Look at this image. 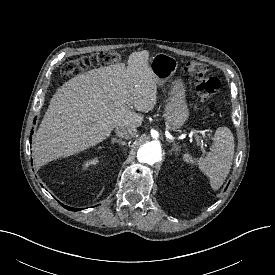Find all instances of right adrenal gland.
Instances as JSON below:
<instances>
[{
  "mask_svg": "<svg viewBox=\"0 0 275 275\" xmlns=\"http://www.w3.org/2000/svg\"><path fill=\"white\" fill-rule=\"evenodd\" d=\"M115 142L119 143L120 145H126L127 144V142L123 141L122 139L112 138L111 143L113 144Z\"/></svg>",
  "mask_w": 275,
  "mask_h": 275,
  "instance_id": "2a0ac1e0",
  "label": "right adrenal gland"
}]
</instances>
